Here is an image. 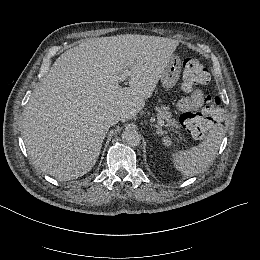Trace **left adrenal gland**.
<instances>
[{
	"label": "left adrenal gland",
	"instance_id": "obj_1",
	"mask_svg": "<svg viewBox=\"0 0 260 260\" xmlns=\"http://www.w3.org/2000/svg\"><path fill=\"white\" fill-rule=\"evenodd\" d=\"M155 128L157 129V134H159V135H163V130H162V128L160 127V126H158V125H155Z\"/></svg>",
	"mask_w": 260,
	"mask_h": 260
}]
</instances>
